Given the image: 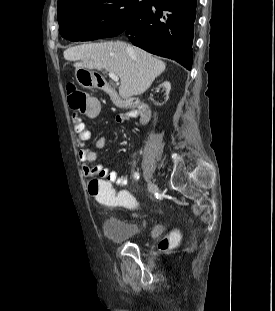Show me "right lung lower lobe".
Here are the masks:
<instances>
[{"mask_svg":"<svg viewBox=\"0 0 275 311\" xmlns=\"http://www.w3.org/2000/svg\"><path fill=\"white\" fill-rule=\"evenodd\" d=\"M197 0H154L137 13L124 32L136 46L192 67V45ZM88 35L80 41L94 40Z\"/></svg>","mask_w":275,"mask_h":311,"instance_id":"1","label":"right lung lower lobe"}]
</instances>
